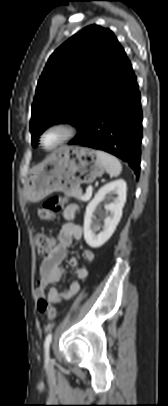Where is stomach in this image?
I'll return each mask as SVG.
<instances>
[{"instance_id": "obj_1", "label": "stomach", "mask_w": 168, "mask_h": 406, "mask_svg": "<svg viewBox=\"0 0 168 406\" xmlns=\"http://www.w3.org/2000/svg\"><path fill=\"white\" fill-rule=\"evenodd\" d=\"M104 171L95 150L64 146L52 153L30 176L25 196L31 202H38L54 191L69 192L82 183H91Z\"/></svg>"}]
</instances>
